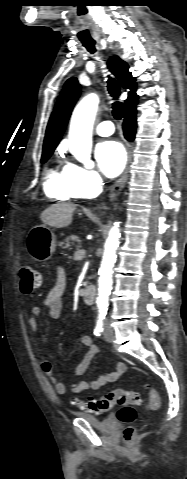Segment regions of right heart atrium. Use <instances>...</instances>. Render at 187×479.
<instances>
[{
    "label": "right heart atrium",
    "instance_id": "right-heart-atrium-1",
    "mask_svg": "<svg viewBox=\"0 0 187 479\" xmlns=\"http://www.w3.org/2000/svg\"><path fill=\"white\" fill-rule=\"evenodd\" d=\"M66 171L78 197H94L101 191L103 179L98 171L75 163L66 165Z\"/></svg>",
    "mask_w": 187,
    "mask_h": 479
}]
</instances>
